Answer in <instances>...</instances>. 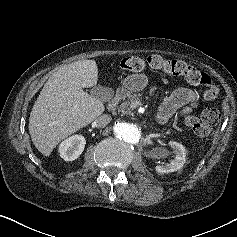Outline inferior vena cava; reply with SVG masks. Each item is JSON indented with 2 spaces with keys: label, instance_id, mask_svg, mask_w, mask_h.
Masks as SVG:
<instances>
[{
  "label": "inferior vena cava",
  "instance_id": "602c4592",
  "mask_svg": "<svg viewBox=\"0 0 237 237\" xmlns=\"http://www.w3.org/2000/svg\"><path fill=\"white\" fill-rule=\"evenodd\" d=\"M112 120V117L109 114H103L100 115L96 120L95 124L99 128L105 127L108 123H110Z\"/></svg>",
  "mask_w": 237,
  "mask_h": 237
}]
</instances>
